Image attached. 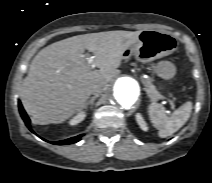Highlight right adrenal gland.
Listing matches in <instances>:
<instances>
[{
  "label": "right adrenal gland",
  "mask_w": 212,
  "mask_h": 183,
  "mask_svg": "<svg viewBox=\"0 0 212 183\" xmlns=\"http://www.w3.org/2000/svg\"><path fill=\"white\" fill-rule=\"evenodd\" d=\"M98 98V95H95L91 97L85 104V109L87 110L88 106H90V110L92 109V106L94 105V101Z\"/></svg>",
  "instance_id": "obj_1"
}]
</instances>
